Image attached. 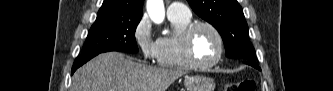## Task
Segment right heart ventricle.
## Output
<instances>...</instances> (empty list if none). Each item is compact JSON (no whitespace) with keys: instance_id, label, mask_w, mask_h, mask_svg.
<instances>
[{"instance_id":"right-heart-ventricle-1","label":"right heart ventricle","mask_w":333,"mask_h":91,"mask_svg":"<svg viewBox=\"0 0 333 91\" xmlns=\"http://www.w3.org/2000/svg\"><path fill=\"white\" fill-rule=\"evenodd\" d=\"M175 29L172 37L157 39V52L155 60L162 68L189 70L191 67L186 63L181 44L183 31L192 23L191 16H169Z\"/></svg>"}]
</instances>
